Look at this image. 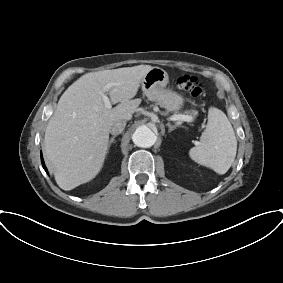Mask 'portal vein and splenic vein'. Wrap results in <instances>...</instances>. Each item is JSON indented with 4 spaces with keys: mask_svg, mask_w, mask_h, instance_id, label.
Listing matches in <instances>:
<instances>
[{
    "mask_svg": "<svg viewBox=\"0 0 283 283\" xmlns=\"http://www.w3.org/2000/svg\"><path fill=\"white\" fill-rule=\"evenodd\" d=\"M113 86L112 83H109L105 86L104 90L107 91L108 89H110ZM102 99L103 102L105 104V107L107 109H111L112 108V104L110 99L108 98V96L106 94H102ZM172 120H181V121H186V122H191L193 120L192 116L189 115H182V114H178V115H174L172 118Z\"/></svg>",
    "mask_w": 283,
    "mask_h": 283,
    "instance_id": "18ae733b",
    "label": "portal vein and splenic vein"
}]
</instances>
